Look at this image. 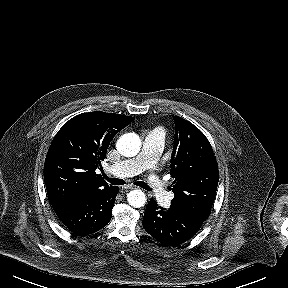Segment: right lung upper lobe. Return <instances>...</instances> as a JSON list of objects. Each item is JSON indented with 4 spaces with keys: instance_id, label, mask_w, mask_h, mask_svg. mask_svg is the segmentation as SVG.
<instances>
[{
    "instance_id": "cb5924a9",
    "label": "right lung upper lobe",
    "mask_w": 288,
    "mask_h": 288,
    "mask_svg": "<svg viewBox=\"0 0 288 288\" xmlns=\"http://www.w3.org/2000/svg\"><path fill=\"white\" fill-rule=\"evenodd\" d=\"M134 117L89 112L67 121L54 137L44 164L51 205L61 204L109 187L95 169L102 167L114 136Z\"/></svg>"
}]
</instances>
